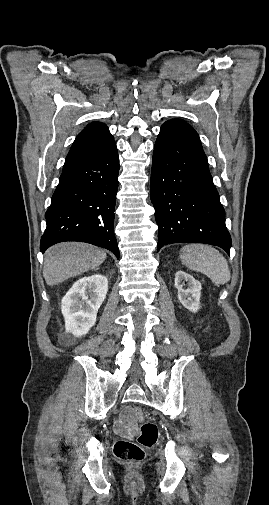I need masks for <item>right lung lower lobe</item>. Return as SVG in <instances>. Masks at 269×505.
<instances>
[{"label": "right lung lower lobe", "instance_id": "1", "mask_svg": "<svg viewBox=\"0 0 269 505\" xmlns=\"http://www.w3.org/2000/svg\"><path fill=\"white\" fill-rule=\"evenodd\" d=\"M119 157L115 142L88 157L67 162L46 211L42 253L63 241L87 242L119 258L113 232Z\"/></svg>", "mask_w": 269, "mask_h": 505}]
</instances>
